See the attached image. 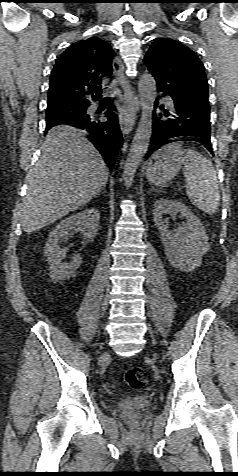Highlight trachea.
I'll list each match as a JSON object with an SVG mask.
<instances>
[{"label": "trachea", "instance_id": "obj_1", "mask_svg": "<svg viewBox=\"0 0 238 476\" xmlns=\"http://www.w3.org/2000/svg\"><path fill=\"white\" fill-rule=\"evenodd\" d=\"M109 99H110L109 97H106L102 101H108Z\"/></svg>", "mask_w": 238, "mask_h": 476}]
</instances>
